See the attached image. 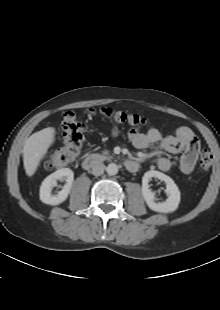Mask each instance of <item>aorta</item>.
Returning <instances> with one entry per match:
<instances>
[{
	"label": "aorta",
	"instance_id": "1",
	"mask_svg": "<svg viewBox=\"0 0 220 310\" xmlns=\"http://www.w3.org/2000/svg\"><path fill=\"white\" fill-rule=\"evenodd\" d=\"M106 172L108 173V175H116L118 173V165H116L115 163H110L108 164V166L106 167Z\"/></svg>",
	"mask_w": 220,
	"mask_h": 310
}]
</instances>
